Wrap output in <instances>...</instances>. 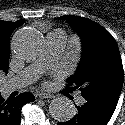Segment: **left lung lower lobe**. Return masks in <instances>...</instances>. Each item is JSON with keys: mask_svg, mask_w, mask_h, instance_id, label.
<instances>
[{"mask_svg": "<svg viewBox=\"0 0 125 125\" xmlns=\"http://www.w3.org/2000/svg\"><path fill=\"white\" fill-rule=\"evenodd\" d=\"M117 102L85 101L83 105L76 106L78 111L72 119L58 122V125H106L115 111Z\"/></svg>", "mask_w": 125, "mask_h": 125, "instance_id": "obj_1", "label": "left lung lower lobe"}]
</instances>
